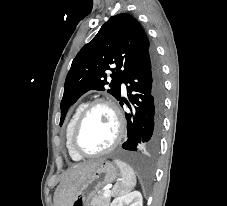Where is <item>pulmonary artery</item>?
I'll return each mask as SVG.
<instances>
[{"mask_svg": "<svg viewBox=\"0 0 227 206\" xmlns=\"http://www.w3.org/2000/svg\"><path fill=\"white\" fill-rule=\"evenodd\" d=\"M122 90L125 91L126 90V86L125 84H122Z\"/></svg>", "mask_w": 227, "mask_h": 206, "instance_id": "pulmonary-artery-1", "label": "pulmonary artery"}]
</instances>
